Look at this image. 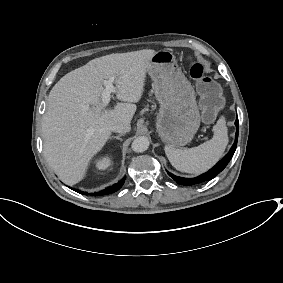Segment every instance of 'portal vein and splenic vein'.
I'll return each mask as SVG.
<instances>
[{
    "mask_svg": "<svg viewBox=\"0 0 283 283\" xmlns=\"http://www.w3.org/2000/svg\"><path fill=\"white\" fill-rule=\"evenodd\" d=\"M114 77L109 78V80H104L105 89L102 92V104L103 106H107L110 102V94L116 92V88L113 85Z\"/></svg>",
    "mask_w": 283,
    "mask_h": 283,
    "instance_id": "18ae733b",
    "label": "portal vein and splenic vein"
}]
</instances>
